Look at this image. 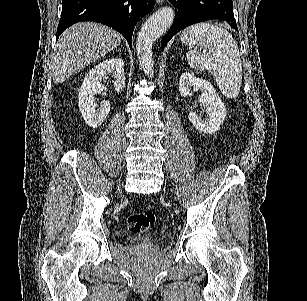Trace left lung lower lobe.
Returning a JSON list of instances; mask_svg holds the SVG:
<instances>
[{
  "instance_id": "obj_1",
  "label": "left lung lower lobe",
  "mask_w": 307,
  "mask_h": 301,
  "mask_svg": "<svg viewBox=\"0 0 307 301\" xmlns=\"http://www.w3.org/2000/svg\"><path fill=\"white\" fill-rule=\"evenodd\" d=\"M175 7V18L167 35L162 39V48L185 27L212 19L224 20L237 29L233 15L232 0H169Z\"/></svg>"
}]
</instances>
